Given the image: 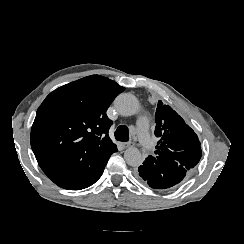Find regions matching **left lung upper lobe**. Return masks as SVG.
Here are the masks:
<instances>
[{
  "label": "left lung upper lobe",
  "instance_id": "obj_1",
  "mask_svg": "<svg viewBox=\"0 0 244 244\" xmlns=\"http://www.w3.org/2000/svg\"><path fill=\"white\" fill-rule=\"evenodd\" d=\"M155 135L159 137L155 157L167 158L186 170L194 168L201 158V146L195 134L169 105L158 101Z\"/></svg>",
  "mask_w": 244,
  "mask_h": 244
}]
</instances>
